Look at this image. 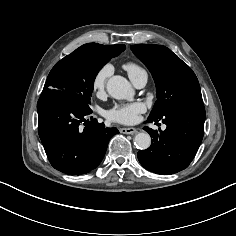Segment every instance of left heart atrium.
Listing matches in <instances>:
<instances>
[{
  "label": "left heart atrium",
  "instance_id": "obj_1",
  "mask_svg": "<svg viewBox=\"0 0 236 236\" xmlns=\"http://www.w3.org/2000/svg\"><path fill=\"white\" fill-rule=\"evenodd\" d=\"M146 110V106L141 101L132 103H120L110 108L107 118L122 124H133L138 121L139 115Z\"/></svg>",
  "mask_w": 236,
  "mask_h": 236
}]
</instances>
